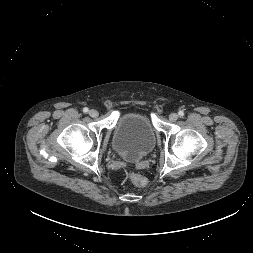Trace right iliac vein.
<instances>
[{"label":"right iliac vein","mask_w":253,"mask_h":253,"mask_svg":"<svg viewBox=\"0 0 253 253\" xmlns=\"http://www.w3.org/2000/svg\"><path fill=\"white\" fill-rule=\"evenodd\" d=\"M89 115H90L91 117H97V116H98V111L95 110V109H91V110L89 111Z\"/></svg>","instance_id":"obj_1"}]
</instances>
